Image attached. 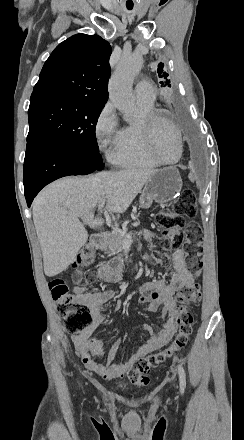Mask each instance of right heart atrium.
<instances>
[{"mask_svg": "<svg viewBox=\"0 0 244 440\" xmlns=\"http://www.w3.org/2000/svg\"><path fill=\"white\" fill-rule=\"evenodd\" d=\"M95 136L101 149L109 151L112 157V149L115 147L116 139L121 132L116 108L110 101L105 104L95 122ZM129 144L125 145L128 150Z\"/></svg>", "mask_w": 244, "mask_h": 440, "instance_id": "right-heart-atrium-1", "label": "right heart atrium"}]
</instances>
